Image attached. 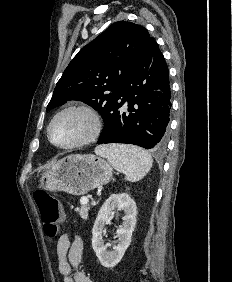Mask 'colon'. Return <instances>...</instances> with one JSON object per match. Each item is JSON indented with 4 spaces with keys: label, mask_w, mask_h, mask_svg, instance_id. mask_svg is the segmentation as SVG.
I'll return each instance as SVG.
<instances>
[{
    "label": "colon",
    "mask_w": 232,
    "mask_h": 282,
    "mask_svg": "<svg viewBox=\"0 0 232 282\" xmlns=\"http://www.w3.org/2000/svg\"><path fill=\"white\" fill-rule=\"evenodd\" d=\"M33 198L42 218L45 235L54 238L59 232L62 219L58 200L44 190L36 191Z\"/></svg>",
    "instance_id": "colon-1"
}]
</instances>
